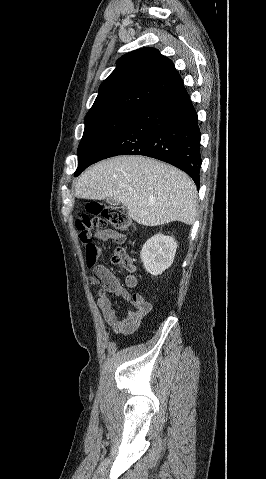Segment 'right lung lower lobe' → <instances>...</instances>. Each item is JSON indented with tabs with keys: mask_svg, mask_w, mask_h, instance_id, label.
<instances>
[{
	"mask_svg": "<svg viewBox=\"0 0 266 479\" xmlns=\"http://www.w3.org/2000/svg\"><path fill=\"white\" fill-rule=\"evenodd\" d=\"M200 138L197 113L184 85H180L140 110L94 163L117 155H144L183 170L199 189Z\"/></svg>",
	"mask_w": 266,
	"mask_h": 479,
	"instance_id": "obj_1",
	"label": "right lung lower lobe"
}]
</instances>
